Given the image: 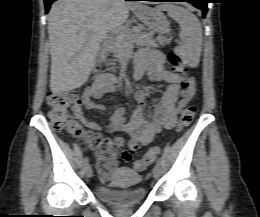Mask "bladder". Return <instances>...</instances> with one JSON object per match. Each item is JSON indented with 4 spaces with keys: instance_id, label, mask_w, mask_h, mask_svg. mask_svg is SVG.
Instances as JSON below:
<instances>
[{
    "instance_id": "31cf9c89",
    "label": "bladder",
    "mask_w": 260,
    "mask_h": 217,
    "mask_svg": "<svg viewBox=\"0 0 260 217\" xmlns=\"http://www.w3.org/2000/svg\"><path fill=\"white\" fill-rule=\"evenodd\" d=\"M141 176L128 167L118 168L108 186L99 185L96 196L108 204L124 207L143 202L146 188L140 185Z\"/></svg>"
}]
</instances>
